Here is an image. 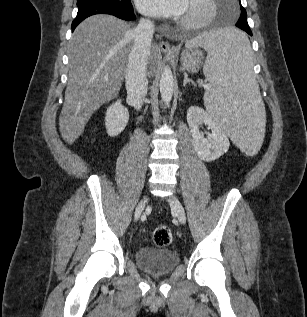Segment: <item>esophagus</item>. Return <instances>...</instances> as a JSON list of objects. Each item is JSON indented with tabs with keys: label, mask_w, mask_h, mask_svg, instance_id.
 <instances>
[{
	"label": "esophagus",
	"mask_w": 307,
	"mask_h": 317,
	"mask_svg": "<svg viewBox=\"0 0 307 317\" xmlns=\"http://www.w3.org/2000/svg\"><path fill=\"white\" fill-rule=\"evenodd\" d=\"M159 48L162 52H165V53H172L173 52L170 44L166 41H161L159 43Z\"/></svg>",
	"instance_id": "obj_1"
}]
</instances>
